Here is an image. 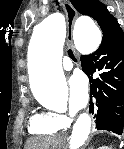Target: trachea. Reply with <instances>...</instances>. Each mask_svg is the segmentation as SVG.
<instances>
[{
  "instance_id": "1",
  "label": "trachea",
  "mask_w": 124,
  "mask_h": 149,
  "mask_svg": "<svg viewBox=\"0 0 124 149\" xmlns=\"http://www.w3.org/2000/svg\"><path fill=\"white\" fill-rule=\"evenodd\" d=\"M56 5L59 6V2L58 1H56ZM69 56H70L71 59H73L74 61H76V58L74 57L72 51H69Z\"/></svg>"
}]
</instances>
